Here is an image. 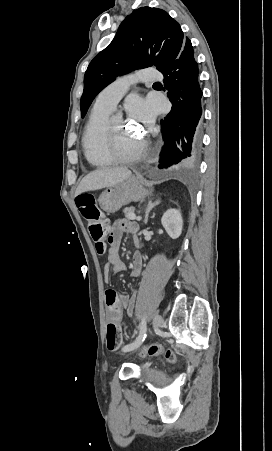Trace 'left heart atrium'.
Wrapping results in <instances>:
<instances>
[{"label": "left heart atrium", "mask_w": 272, "mask_h": 451, "mask_svg": "<svg viewBox=\"0 0 272 451\" xmlns=\"http://www.w3.org/2000/svg\"><path fill=\"white\" fill-rule=\"evenodd\" d=\"M127 111L134 124L151 128L155 114V109L151 102L137 98L127 104Z\"/></svg>", "instance_id": "left-heart-atrium-1"}]
</instances>
